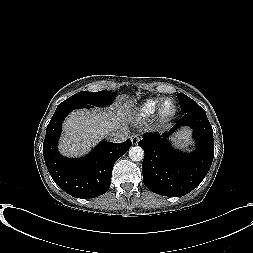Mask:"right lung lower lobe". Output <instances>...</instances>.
<instances>
[{"mask_svg":"<svg viewBox=\"0 0 253 253\" xmlns=\"http://www.w3.org/2000/svg\"><path fill=\"white\" fill-rule=\"evenodd\" d=\"M89 107L84 103L59 104L47 126L43 144L45 163L54 182L68 194L82 199L108 191L114 163L132 146L130 139L123 143L102 141L84 158L63 157L57 150V142L64 118L74 109Z\"/></svg>","mask_w":253,"mask_h":253,"instance_id":"98d812e1","label":"right lung lower lobe"}]
</instances>
